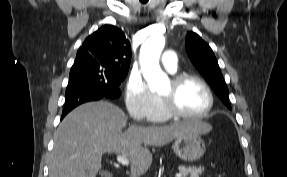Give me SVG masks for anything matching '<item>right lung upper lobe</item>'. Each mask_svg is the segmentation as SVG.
I'll return each mask as SVG.
<instances>
[{"label": "right lung upper lobe", "mask_w": 287, "mask_h": 177, "mask_svg": "<svg viewBox=\"0 0 287 177\" xmlns=\"http://www.w3.org/2000/svg\"><path fill=\"white\" fill-rule=\"evenodd\" d=\"M130 58V42L122 30L113 25H104L85 39L74 65L100 66L128 72Z\"/></svg>", "instance_id": "right-lung-upper-lobe-1"}]
</instances>
